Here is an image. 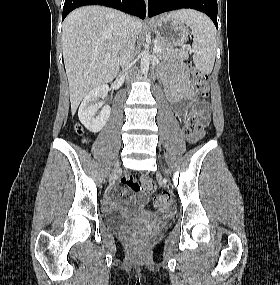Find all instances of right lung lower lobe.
Instances as JSON below:
<instances>
[{
    "mask_svg": "<svg viewBox=\"0 0 280 285\" xmlns=\"http://www.w3.org/2000/svg\"><path fill=\"white\" fill-rule=\"evenodd\" d=\"M84 5H103L113 7L126 13L136 15L141 19L146 16L144 0H65L62 20L75 8Z\"/></svg>",
    "mask_w": 280,
    "mask_h": 285,
    "instance_id": "obj_1",
    "label": "right lung lower lobe"
}]
</instances>
